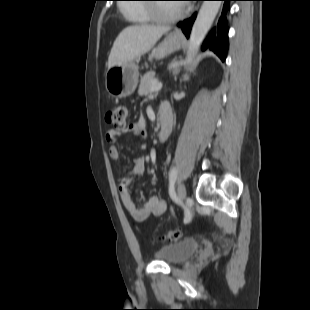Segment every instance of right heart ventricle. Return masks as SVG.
<instances>
[{
	"instance_id": "e07e8e85",
	"label": "right heart ventricle",
	"mask_w": 310,
	"mask_h": 310,
	"mask_svg": "<svg viewBox=\"0 0 310 310\" xmlns=\"http://www.w3.org/2000/svg\"><path fill=\"white\" fill-rule=\"evenodd\" d=\"M122 12L135 24H146L152 21L149 9L144 6H123Z\"/></svg>"
}]
</instances>
